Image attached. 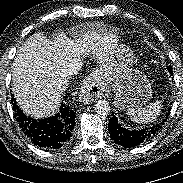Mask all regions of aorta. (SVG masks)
<instances>
[{
  "instance_id": "1",
  "label": "aorta",
  "mask_w": 183,
  "mask_h": 183,
  "mask_svg": "<svg viewBox=\"0 0 183 183\" xmlns=\"http://www.w3.org/2000/svg\"><path fill=\"white\" fill-rule=\"evenodd\" d=\"M94 109L97 112V114L103 116L107 115L111 110L109 102L104 99L96 101Z\"/></svg>"
}]
</instances>
